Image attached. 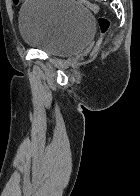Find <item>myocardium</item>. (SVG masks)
I'll return each instance as SVG.
<instances>
[{"label": "myocardium", "instance_id": "1", "mask_svg": "<svg viewBox=\"0 0 140 196\" xmlns=\"http://www.w3.org/2000/svg\"><path fill=\"white\" fill-rule=\"evenodd\" d=\"M36 192H45V191H36ZM57 192H65V191H57Z\"/></svg>", "mask_w": 140, "mask_h": 196}]
</instances>
